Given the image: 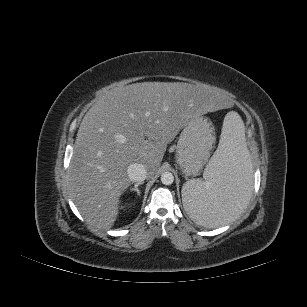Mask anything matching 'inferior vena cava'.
<instances>
[{
  "label": "inferior vena cava",
  "mask_w": 307,
  "mask_h": 307,
  "mask_svg": "<svg viewBox=\"0 0 307 307\" xmlns=\"http://www.w3.org/2000/svg\"><path fill=\"white\" fill-rule=\"evenodd\" d=\"M128 177L133 182H142L147 177V170L143 164L133 163L127 169Z\"/></svg>",
  "instance_id": "obj_1"
}]
</instances>
